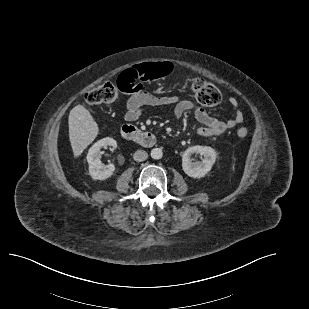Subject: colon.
Masks as SVG:
<instances>
[{
  "label": "colon",
  "mask_w": 309,
  "mask_h": 309,
  "mask_svg": "<svg viewBox=\"0 0 309 309\" xmlns=\"http://www.w3.org/2000/svg\"><path fill=\"white\" fill-rule=\"evenodd\" d=\"M172 71V64L169 62H151L141 64L137 67L128 69L122 72L117 80V85L107 82L101 84L85 95V101L92 106H98L115 101L118 96V91L131 92L142 87L138 82H151L169 75ZM129 78L131 84H134L133 89L124 86V79ZM190 85L197 101L205 106L218 105L222 96L218 88L211 83L201 78H191ZM248 134L246 128L241 127L237 130L236 135L239 138H244Z\"/></svg>",
  "instance_id": "obj_1"
}]
</instances>
